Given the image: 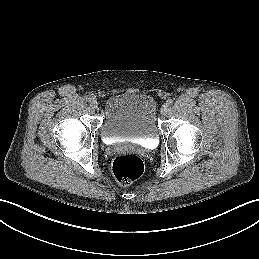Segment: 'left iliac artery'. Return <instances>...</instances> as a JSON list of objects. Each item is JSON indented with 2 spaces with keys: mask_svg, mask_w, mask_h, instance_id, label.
<instances>
[{
  "mask_svg": "<svg viewBox=\"0 0 259 259\" xmlns=\"http://www.w3.org/2000/svg\"><path fill=\"white\" fill-rule=\"evenodd\" d=\"M173 104V100L172 99H168L167 100V105H172Z\"/></svg>",
  "mask_w": 259,
  "mask_h": 259,
  "instance_id": "left-iliac-artery-1",
  "label": "left iliac artery"
}]
</instances>
